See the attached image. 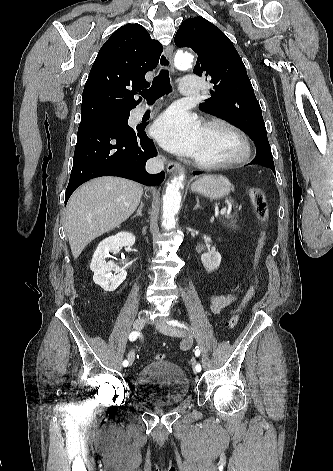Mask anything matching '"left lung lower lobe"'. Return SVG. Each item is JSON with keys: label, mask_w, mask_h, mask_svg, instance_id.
<instances>
[{"label": "left lung lower lobe", "mask_w": 333, "mask_h": 471, "mask_svg": "<svg viewBox=\"0 0 333 471\" xmlns=\"http://www.w3.org/2000/svg\"><path fill=\"white\" fill-rule=\"evenodd\" d=\"M249 164H261L266 167H269L274 173H275V167H274V162L273 158L271 156H259L255 157L254 160L249 163ZM202 172H194V175L200 174Z\"/></svg>", "instance_id": "obj_1"}]
</instances>
